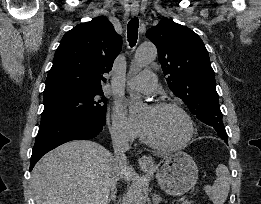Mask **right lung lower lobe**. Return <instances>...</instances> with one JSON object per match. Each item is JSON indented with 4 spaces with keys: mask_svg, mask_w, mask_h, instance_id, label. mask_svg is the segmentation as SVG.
Wrapping results in <instances>:
<instances>
[{
    "mask_svg": "<svg viewBox=\"0 0 261 204\" xmlns=\"http://www.w3.org/2000/svg\"><path fill=\"white\" fill-rule=\"evenodd\" d=\"M105 119L92 114H67L41 119L32 151L30 171L44 154L57 146L71 140L96 137L105 125Z\"/></svg>",
    "mask_w": 261,
    "mask_h": 204,
    "instance_id": "obj_1",
    "label": "right lung lower lobe"
}]
</instances>
